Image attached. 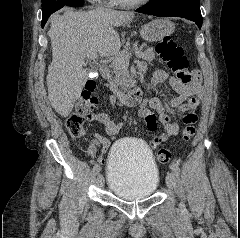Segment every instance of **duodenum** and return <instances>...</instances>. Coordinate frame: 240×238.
I'll list each match as a JSON object with an SVG mask.
<instances>
[{"label":"duodenum","mask_w":240,"mask_h":238,"mask_svg":"<svg viewBox=\"0 0 240 238\" xmlns=\"http://www.w3.org/2000/svg\"><path fill=\"white\" fill-rule=\"evenodd\" d=\"M101 75L105 78L109 77V72L104 63L98 65ZM112 90L117 96L119 101L128 106L138 105L142 100V91L138 87L130 88L129 90H123L118 87L113 86Z\"/></svg>","instance_id":"1"}]
</instances>
